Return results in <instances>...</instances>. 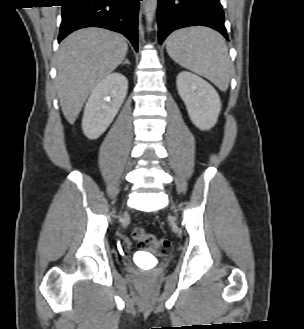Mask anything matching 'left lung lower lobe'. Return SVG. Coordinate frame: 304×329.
<instances>
[{
    "mask_svg": "<svg viewBox=\"0 0 304 329\" xmlns=\"http://www.w3.org/2000/svg\"><path fill=\"white\" fill-rule=\"evenodd\" d=\"M194 25L211 27L228 39L220 0H158L160 44L172 31Z\"/></svg>",
    "mask_w": 304,
    "mask_h": 329,
    "instance_id": "obj_1",
    "label": "left lung lower lobe"
}]
</instances>
